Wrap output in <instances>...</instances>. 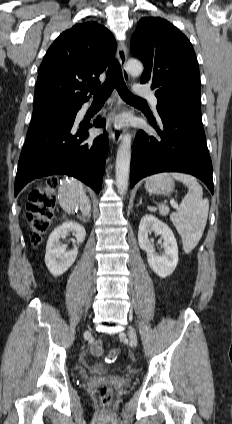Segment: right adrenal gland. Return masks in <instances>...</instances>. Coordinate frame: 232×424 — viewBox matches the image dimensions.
Masks as SVG:
<instances>
[{"label": "right adrenal gland", "mask_w": 232, "mask_h": 424, "mask_svg": "<svg viewBox=\"0 0 232 424\" xmlns=\"http://www.w3.org/2000/svg\"><path fill=\"white\" fill-rule=\"evenodd\" d=\"M77 217L83 222L86 223L90 220L91 217V213H89L86 217L85 216H80L79 214H77Z\"/></svg>", "instance_id": "obj_1"}]
</instances>
